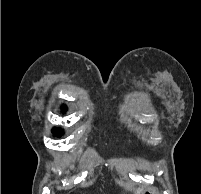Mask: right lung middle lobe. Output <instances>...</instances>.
<instances>
[{
	"label": "right lung middle lobe",
	"instance_id": "obj_1",
	"mask_svg": "<svg viewBox=\"0 0 201 194\" xmlns=\"http://www.w3.org/2000/svg\"><path fill=\"white\" fill-rule=\"evenodd\" d=\"M52 133H53L55 136L60 137L61 134H62V131H61L60 129H58V128H54V129L52 130Z\"/></svg>",
	"mask_w": 201,
	"mask_h": 194
}]
</instances>
